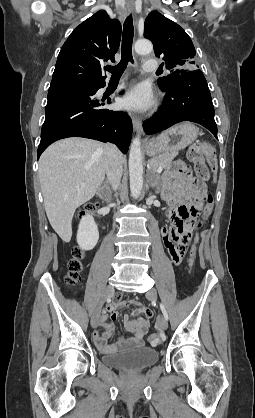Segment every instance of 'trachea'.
<instances>
[{
    "mask_svg": "<svg viewBox=\"0 0 255 418\" xmlns=\"http://www.w3.org/2000/svg\"><path fill=\"white\" fill-rule=\"evenodd\" d=\"M133 20L132 15H129L123 26V35H122V53L121 61L116 66H108L106 70L112 74V77L121 76L124 70L127 67L128 62L133 63L132 57V43H133Z\"/></svg>",
    "mask_w": 255,
    "mask_h": 418,
    "instance_id": "trachea-1",
    "label": "trachea"
}]
</instances>
